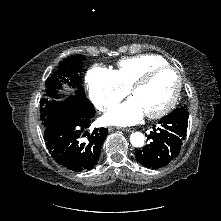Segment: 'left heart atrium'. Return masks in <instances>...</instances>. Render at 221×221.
Returning a JSON list of instances; mask_svg holds the SVG:
<instances>
[{
	"mask_svg": "<svg viewBox=\"0 0 221 221\" xmlns=\"http://www.w3.org/2000/svg\"><path fill=\"white\" fill-rule=\"evenodd\" d=\"M144 114L145 112L138 100L132 97L123 104L111 108L105 115L104 121L119 126L133 125L139 122Z\"/></svg>",
	"mask_w": 221,
	"mask_h": 221,
	"instance_id": "1",
	"label": "left heart atrium"
}]
</instances>
